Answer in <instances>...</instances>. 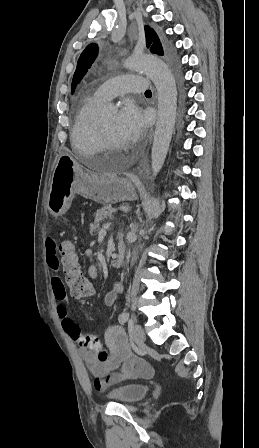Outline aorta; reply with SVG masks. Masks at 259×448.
I'll list each match as a JSON object with an SVG mask.
<instances>
[{"mask_svg": "<svg viewBox=\"0 0 259 448\" xmlns=\"http://www.w3.org/2000/svg\"><path fill=\"white\" fill-rule=\"evenodd\" d=\"M127 68L146 74L158 92V116L152 145L151 166L153 176L161 170L171 142L177 110V88L172 72L159 58L151 55L132 56ZM113 110L112 105L107 106Z\"/></svg>", "mask_w": 259, "mask_h": 448, "instance_id": "1", "label": "aorta"}]
</instances>
